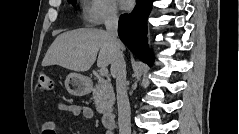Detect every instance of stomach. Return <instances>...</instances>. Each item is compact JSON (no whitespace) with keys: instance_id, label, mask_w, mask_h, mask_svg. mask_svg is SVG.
Listing matches in <instances>:
<instances>
[{"instance_id":"1","label":"stomach","mask_w":239,"mask_h":134,"mask_svg":"<svg viewBox=\"0 0 239 134\" xmlns=\"http://www.w3.org/2000/svg\"><path fill=\"white\" fill-rule=\"evenodd\" d=\"M65 86L70 94L76 96H83L90 90L88 78L78 73L68 74L65 79Z\"/></svg>"}]
</instances>
